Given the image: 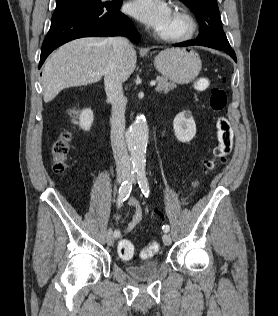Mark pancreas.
<instances>
[{"mask_svg":"<svg viewBox=\"0 0 278 316\" xmlns=\"http://www.w3.org/2000/svg\"><path fill=\"white\" fill-rule=\"evenodd\" d=\"M156 81H157L156 91L159 93L167 94L169 91L176 88V85L174 83L169 82L164 77H158Z\"/></svg>","mask_w":278,"mask_h":316,"instance_id":"pancreas-1","label":"pancreas"}]
</instances>
